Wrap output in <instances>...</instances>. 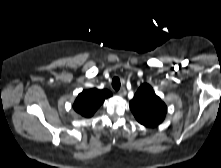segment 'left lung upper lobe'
Wrapping results in <instances>:
<instances>
[{
    "instance_id": "left-lung-upper-lobe-1",
    "label": "left lung upper lobe",
    "mask_w": 221,
    "mask_h": 168,
    "mask_svg": "<svg viewBox=\"0 0 221 168\" xmlns=\"http://www.w3.org/2000/svg\"><path fill=\"white\" fill-rule=\"evenodd\" d=\"M129 105L136 120L146 127L159 125L163 122L167 113L165 103L155 94L153 88L146 83L139 87Z\"/></svg>"
}]
</instances>
